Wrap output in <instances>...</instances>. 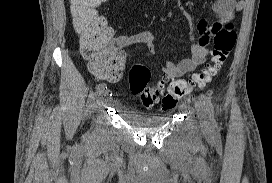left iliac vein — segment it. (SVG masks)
I'll list each match as a JSON object with an SVG mask.
<instances>
[{"instance_id":"obj_1","label":"left iliac vein","mask_w":272,"mask_h":183,"mask_svg":"<svg viewBox=\"0 0 272 183\" xmlns=\"http://www.w3.org/2000/svg\"><path fill=\"white\" fill-rule=\"evenodd\" d=\"M196 111L198 118L200 120V127L204 132H208L210 130L209 123L207 121V110L203 104L202 100H197L196 104Z\"/></svg>"}]
</instances>
